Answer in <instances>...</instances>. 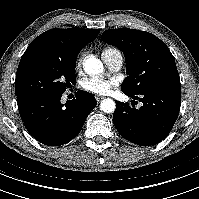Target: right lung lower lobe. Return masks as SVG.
<instances>
[{
	"label": "right lung lower lobe",
	"instance_id": "right-lung-lower-lobe-1",
	"mask_svg": "<svg viewBox=\"0 0 199 199\" xmlns=\"http://www.w3.org/2000/svg\"><path fill=\"white\" fill-rule=\"evenodd\" d=\"M62 94L33 93L17 96L24 126L36 140L60 146L75 138L97 105L94 96L79 90L76 98L60 102Z\"/></svg>",
	"mask_w": 199,
	"mask_h": 199
}]
</instances>
